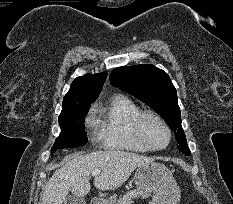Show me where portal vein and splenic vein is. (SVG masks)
I'll return each mask as SVG.
<instances>
[{
  "label": "portal vein and splenic vein",
  "instance_id": "18ae733b",
  "mask_svg": "<svg viewBox=\"0 0 233 204\" xmlns=\"http://www.w3.org/2000/svg\"><path fill=\"white\" fill-rule=\"evenodd\" d=\"M100 173H101V170H99V169L93 170L92 176L95 177V176L99 175Z\"/></svg>",
  "mask_w": 233,
  "mask_h": 204
}]
</instances>
